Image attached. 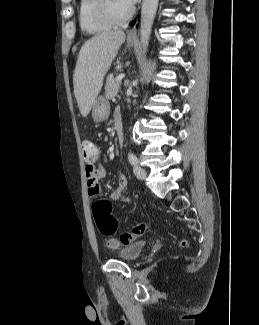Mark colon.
Returning <instances> with one entry per match:
<instances>
[{
  "label": "colon",
  "instance_id": "1",
  "mask_svg": "<svg viewBox=\"0 0 259 325\" xmlns=\"http://www.w3.org/2000/svg\"><path fill=\"white\" fill-rule=\"evenodd\" d=\"M82 153L85 161H93L98 157L99 151L92 141L85 140L82 143ZM93 216L98 230L105 236L113 235L118 229V221L112 214V204L109 200H99L93 205ZM147 229L145 223H137L130 231L123 232L118 238L106 240V246L111 249L126 246L142 236ZM182 246H186V240H182Z\"/></svg>",
  "mask_w": 259,
  "mask_h": 325
}]
</instances>
